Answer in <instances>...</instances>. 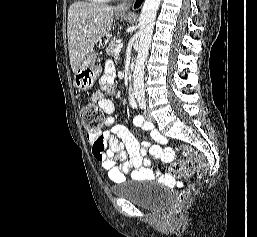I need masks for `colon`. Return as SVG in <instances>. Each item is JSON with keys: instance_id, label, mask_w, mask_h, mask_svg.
<instances>
[{"instance_id": "5ec220e1", "label": "colon", "mask_w": 257, "mask_h": 237, "mask_svg": "<svg viewBox=\"0 0 257 237\" xmlns=\"http://www.w3.org/2000/svg\"><path fill=\"white\" fill-rule=\"evenodd\" d=\"M81 119L83 126L91 133H98L103 126V115L100 109L93 103H86L81 109ZM181 154L186 158L185 161L175 162L171 165V171L176 176H190L194 170V162H198V172L202 175L206 169L205 163L201 159L200 153L192 146L183 145L180 148ZM189 191L179 194L174 205V212L179 213L187 203Z\"/></svg>"}]
</instances>
